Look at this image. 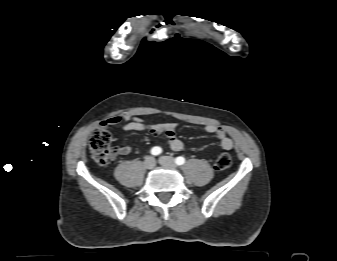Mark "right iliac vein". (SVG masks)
<instances>
[{
    "label": "right iliac vein",
    "instance_id": "right-iliac-vein-1",
    "mask_svg": "<svg viewBox=\"0 0 337 261\" xmlns=\"http://www.w3.org/2000/svg\"><path fill=\"white\" fill-rule=\"evenodd\" d=\"M144 165L147 169H153L156 166V161L154 157L148 156L144 161Z\"/></svg>",
    "mask_w": 337,
    "mask_h": 261
}]
</instances>
